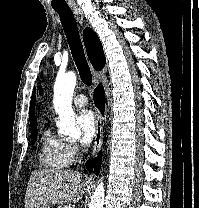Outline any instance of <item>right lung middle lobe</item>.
<instances>
[{"mask_svg":"<svg viewBox=\"0 0 199 208\" xmlns=\"http://www.w3.org/2000/svg\"><path fill=\"white\" fill-rule=\"evenodd\" d=\"M32 140L35 141L37 138V129L31 130Z\"/></svg>","mask_w":199,"mask_h":208,"instance_id":"dd1d6c3e","label":"right lung middle lobe"}]
</instances>
